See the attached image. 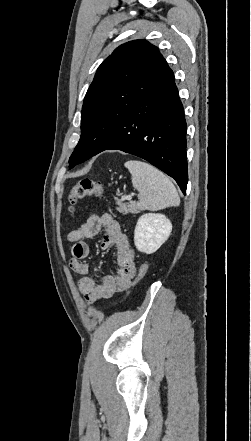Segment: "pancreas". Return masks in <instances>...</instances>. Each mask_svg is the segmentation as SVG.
I'll list each match as a JSON object with an SVG mask.
<instances>
[{"instance_id": "cf45deb5", "label": "pancreas", "mask_w": 251, "mask_h": 441, "mask_svg": "<svg viewBox=\"0 0 251 441\" xmlns=\"http://www.w3.org/2000/svg\"><path fill=\"white\" fill-rule=\"evenodd\" d=\"M116 204L118 205L117 210L123 214H137L143 210L142 206L134 201L125 203L123 200H118L116 201Z\"/></svg>"}]
</instances>
